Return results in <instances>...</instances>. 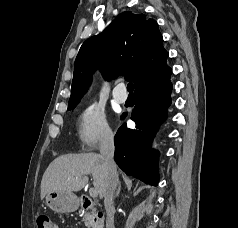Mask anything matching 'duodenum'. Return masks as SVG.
<instances>
[{"instance_id":"obj_1","label":"duodenum","mask_w":238,"mask_h":228,"mask_svg":"<svg viewBox=\"0 0 238 228\" xmlns=\"http://www.w3.org/2000/svg\"><path fill=\"white\" fill-rule=\"evenodd\" d=\"M80 205L84 208H89L91 205H92V201L90 198L88 197H81L80 198ZM98 217L101 218L102 217V214L99 213L98 214ZM98 228H102L101 225H98Z\"/></svg>"}]
</instances>
